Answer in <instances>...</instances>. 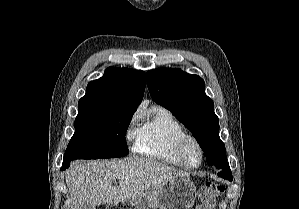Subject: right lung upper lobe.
Segmentation results:
<instances>
[{
  "instance_id": "obj_1",
  "label": "right lung upper lobe",
  "mask_w": 299,
  "mask_h": 209,
  "mask_svg": "<svg viewBox=\"0 0 299 209\" xmlns=\"http://www.w3.org/2000/svg\"><path fill=\"white\" fill-rule=\"evenodd\" d=\"M145 80L141 70L108 67L102 78L88 84L78 109L135 112L144 95Z\"/></svg>"
}]
</instances>
